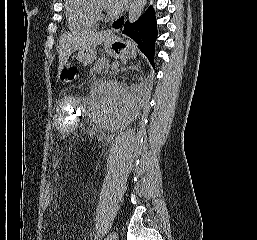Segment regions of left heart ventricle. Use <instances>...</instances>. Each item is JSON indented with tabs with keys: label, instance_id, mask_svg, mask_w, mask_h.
<instances>
[{
	"label": "left heart ventricle",
	"instance_id": "b2bd125f",
	"mask_svg": "<svg viewBox=\"0 0 257 240\" xmlns=\"http://www.w3.org/2000/svg\"><path fill=\"white\" fill-rule=\"evenodd\" d=\"M99 3L107 8V0H99Z\"/></svg>",
	"mask_w": 257,
	"mask_h": 240
}]
</instances>
